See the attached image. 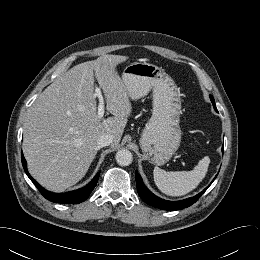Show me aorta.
<instances>
[{
	"label": "aorta",
	"instance_id": "1",
	"mask_svg": "<svg viewBox=\"0 0 260 260\" xmlns=\"http://www.w3.org/2000/svg\"><path fill=\"white\" fill-rule=\"evenodd\" d=\"M115 159L120 166H128L133 161V155L129 150L121 149L117 151Z\"/></svg>",
	"mask_w": 260,
	"mask_h": 260
}]
</instances>
